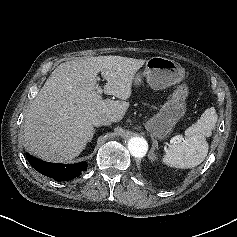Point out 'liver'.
<instances>
[{"label": "liver", "mask_w": 237, "mask_h": 237, "mask_svg": "<svg viewBox=\"0 0 237 237\" xmlns=\"http://www.w3.org/2000/svg\"><path fill=\"white\" fill-rule=\"evenodd\" d=\"M146 60L98 56L60 64L33 100L24 122V140L35 156L52 162L77 157L86 147L98 116L120 121L125 115L136 72ZM106 80L103 99L97 75Z\"/></svg>", "instance_id": "6515ba94"}]
</instances>
